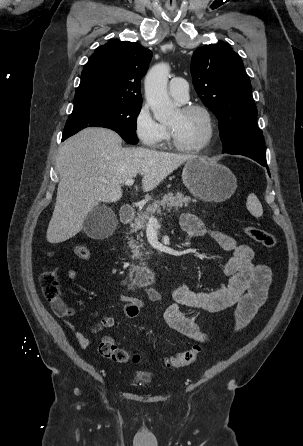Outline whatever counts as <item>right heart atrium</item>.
<instances>
[{"instance_id":"1","label":"right heart atrium","mask_w":303,"mask_h":446,"mask_svg":"<svg viewBox=\"0 0 303 446\" xmlns=\"http://www.w3.org/2000/svg\"><path fill=\"white\" fill-rule=\"evenodd\" d=\"M134 132L142 145L158 148L167 139L166 127L159 123L146 103H142L134 116Z\"/></svg>"}]
</instances>
